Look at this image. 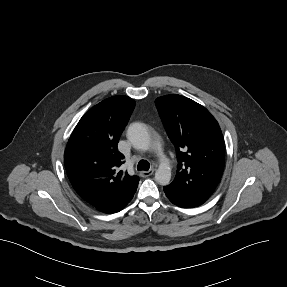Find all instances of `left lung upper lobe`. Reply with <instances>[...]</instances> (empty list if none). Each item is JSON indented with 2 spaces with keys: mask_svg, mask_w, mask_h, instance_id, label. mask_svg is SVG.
Instances as JSON below:
<instances>
[{
  "mask_svg": "<svg viewBox=\"0 0 287 287\" xmlns=\"http://www.w3.org/2000/svg\"><path fill=\"white\" fill-rule=\"evenodd\" d=\"M155 103L177 153L176 176L168 186L208 199L225 163L217 121L205 107L181 95L162 96Z\"/></svg>",
  "mask_w": 287,
  "mask_h": 287,
  "instance_id": "5c2ea615",
  "label": "left lung upper lobe"
}]
</instances>
